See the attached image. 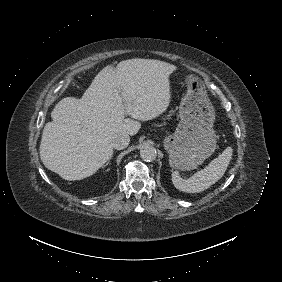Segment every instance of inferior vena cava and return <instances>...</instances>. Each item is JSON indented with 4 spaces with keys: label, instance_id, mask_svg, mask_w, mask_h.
I'll return each mask as SVG.
<instances>
[{
    "label": "inferior vena cava",
    "instance_id": "obj_1",
    "mask_svg": "<svg viewBox=\"0 0 282 282\" xmlns=\"http://www.w3.org/2000/svg\"><path fill=\"white\" fill-rule=\"evenodd\" d=\"M129 141L130 137L128 134H118L113 137L112 146L117 150H121L128 146Z\"/></svg>",
    "mask_w": 282,
    "mask_h": 282
}]
</instances>
